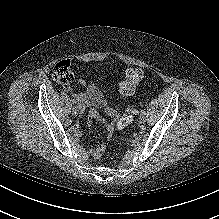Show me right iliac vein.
<instances>
[{
	"label": "right iliac vein",
	"mask_w": 219,
	"mask_h": 219,
	"mask_svg": "<svg viewBox=\"0 0 219 219\" xmlns=\"http://www.w3.org/2000/svg\"><path fill=\"white\" fill-rule=\"evenodd\" d=\"M72 113H73L74 116H77L79 114L78 106H76V105L73 106Z\"/></svg>",
	"instance_id": "63e3f726"
}]
</instances>
